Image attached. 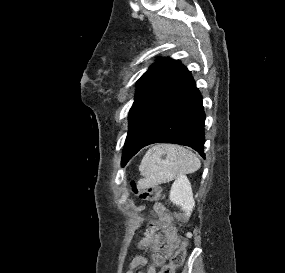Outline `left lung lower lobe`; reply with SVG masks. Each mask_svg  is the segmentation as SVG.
<instances>
[{"label": "left lung lower lobe", "instance_id": "obj_1", "mask_svg": "<svg viewBox=\"0 0 285 273\" xmlns=\"http://www.w3.org/2000/svg\"><path fill=\"white\" fill-rule=\"evenodd\" d=\"M204 122L201 94L185 68L162 99L129 128L121 165L141 148L161 142L189 146L205 158Z\"/></svg>", "mask_w": 285, "mask_h": 273}]
</instances>
